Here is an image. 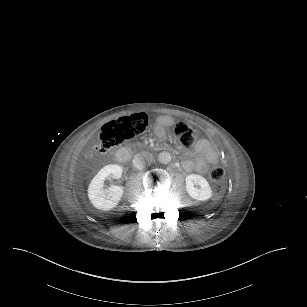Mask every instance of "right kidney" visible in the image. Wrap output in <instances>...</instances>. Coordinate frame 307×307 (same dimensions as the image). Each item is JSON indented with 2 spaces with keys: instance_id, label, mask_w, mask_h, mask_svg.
Here are the masks:
<instances>
[{
  "instance_id": "1",
  "label": "right kidney",
  "mask_w": 307,
  "mask_h": 307,
  "mask_svg": "<svg viewBox=\"0 0 307 307\" xmlns=\"http://www.w3.org/2000/svg\"><path fill=\"white\" fill-rule=\"evenodd\" d=\"M122 172L121 166L109 164L104 166L92 179L88 187V197L95 208L108 211L117 206L123 195V187L112 185L104 189V180L110 175L114 179H120Z\"/></svg>"
}]
</instances>
